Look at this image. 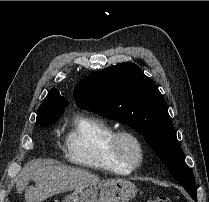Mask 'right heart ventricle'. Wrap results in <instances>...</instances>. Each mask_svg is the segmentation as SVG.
Listing matches in <instances>:
<instances>
[{"label": "right heart ventricle", "mask_w": 209, "mask_h": 202, "mask_svg": "<svg viewBox=\"0 0 209 202\" xmlns=\"http://www.w3.org/2000/svg\"><path fill=\"white\" fill-rule=\"evenodd\" d=\"M115 131L105 119L82 115L72 122L64 137L66 158L78 165L115 173H130L131 167L117 162L109 152V141Z\"/></svg>", "instance_id": "1"}]
</instances>
